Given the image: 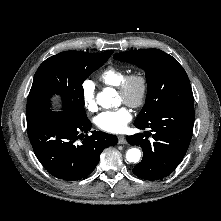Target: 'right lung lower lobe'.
I'll list each match as a JSON object with an SVG mask.
<instances>
[{"instance_id": "obj_1", "label": "right lung lower lobe", "mask_w": 221, "mask_h": 221, "mask_svg": "<svg viewBox=\"0 0 221 221\" xmlns=\"http://www.w3.org/2000/svg\"><path fill=\"white\" fill-rule=\"evenodd\" d=\"M27 132L34 153L54 177L66 181L90 175L108 146L117 144L115 135L92 131L87 117L39 108L27 114Z\"/></svg>"}]
</instances>
